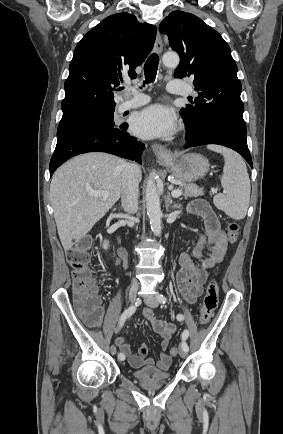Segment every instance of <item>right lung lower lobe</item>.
Listing matches in <instances>:
<instances>
[{"instance_id":"98d812e1","label":"right lung lower lobe","mask_w":283,"mask_h":434,"mask_svg":"<svg viewBox=\"0 0 283 434\" xmlns=\"http://www.w3.org/2000/svg\"><path fill=\"white\" fill-rule=\"evenodd\" d=\"M124 127H92L58 139L50 160V176L65 161L87 152H106L141 164L145 145L130 137Z\"/></svg>"}]
</instances>
